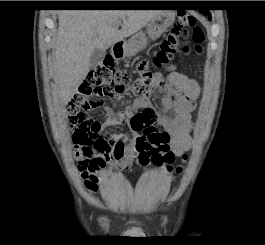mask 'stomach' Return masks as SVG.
<instances>
[{
    "instance_id": "0dacf381",
    "label": "stomach",
    "mask_w": 265,
    "mask_h": 245,
    "mask_svg": "<svg viewBox=\"0 0 265 245\" xmlns=\"http://www.w3.org/2000/svg\"><path fill=\"white\" fill-rule=\"evenodd\" d=\"M175 14L170 11H162L161 14L152 18L147 24V34L152 40L158 39L169 26L172 25ZM147 38L143 32H138L123 46V56L129 57L135 55L146 47Z\"/></svg>"
}]
</instances>
